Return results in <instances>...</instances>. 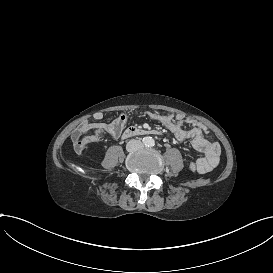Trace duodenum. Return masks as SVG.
<instances>
[{
  "mask_svg": "<svg viewBox=\"0 0 273 273\" xmlns=\"http://www.w3.org/2000/svg\"><path fill=\"white\" fill-rule=\"evenodd\" d=\"M159 134H160V132L158 130L143 129V128L131 126L123 132L122 137L129 138V137H134V136L159 135Z\"/></svg>",
  "mask_w": 273,
  "mask_h": 273,
  "instance_id": "410a0bca",
  "label": "duodenum"
}]
</instances>
